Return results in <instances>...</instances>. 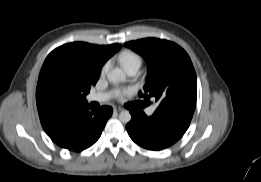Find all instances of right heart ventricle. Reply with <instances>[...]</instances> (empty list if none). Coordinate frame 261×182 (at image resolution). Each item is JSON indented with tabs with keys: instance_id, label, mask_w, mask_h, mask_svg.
<instances>
[{
	"instance_id": "right-heart-ventricle-1",
	"label": "right heart ventricle",
	"mask_w": 261,
	"mask_h": 182,
	"mask_svg": "<svg viewBox=\"0 0 261 182\" xmlns=\"http://www.w3.org/2000/svg\"><path fill=\"white\" fill-rule=\"evenodd\" d=\"M120 62L124 69H127L132 66L140 67L142 60L139 54L133 51H125L120 55Z\"/></svg>"
}]
</instances>
